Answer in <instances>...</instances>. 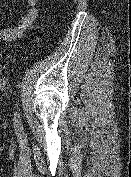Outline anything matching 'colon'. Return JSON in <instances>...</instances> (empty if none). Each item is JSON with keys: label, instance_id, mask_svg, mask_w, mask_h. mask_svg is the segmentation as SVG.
Here are the masks:
<instances>
[{"label": "colon", "instance_id": "1", "mask_svg": "<svg viewBox=\"0 0 131 177\" xmlns=\"http://www.w3.org/2000/svg\"><path fill=\"white\" fill-rule=\"evenodd\" d=\"M6 69L5 63H0V73L3 72Z\"/></svg>", "mask_w": 131, "mask_h": 177}]
</instances>
